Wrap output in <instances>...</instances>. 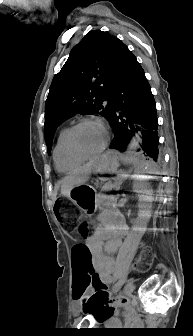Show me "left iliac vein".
Returning <instances> with one entry per match:
<instances>
[{
    "instance_id": "4c4485c4",
    "label": "left iliac vein",
    "mask_w": 193,
    "mask_h": 336,
    "mask_svg": "<svg viewBox=\"0 0 193 336\" xmlns=\"http://www.w3.org/2000/svg\"><path fill=\"white\" fill-rule=\"evenodd\" d=\"M114 289V288H113ZM135 289V285L132 281H129L125 286H124V289L122 291V293L124 295H130ZM113 293H115L113 290H112ZM117 292V291H116Z\"/></svg>"
}]
</instances>
